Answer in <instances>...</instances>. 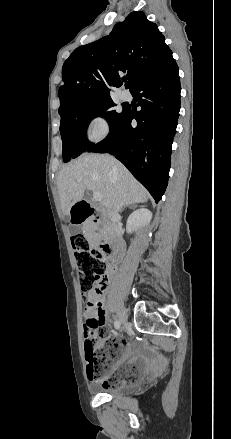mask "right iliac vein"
I'll return each mask as SVG.
<instances>
[{
    "instance_id": "obj_1",
    "label": "right iliac vein",
    "mask_w": 231,
    "mask_h": 439,
    "mask_svg": "<svg viewBox=\"0 0 231 439\" xmlns=\"http://www.w3.org/2000/svg\"><path fill=\"white\" fill-rule=\"evenodd\" d=\"M120 323H122L123 325L126 324V316L123 310L120 311Z\"/></svg>"
}]
</instances>
